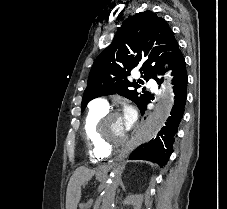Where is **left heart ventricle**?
I'll return each instance as SVG.
<instances>
[{
    "label": "left heart ventricle",
    "mask_w": 227,
    "mask_h": 209,
    "mask_svg": "<svg viewBox=\"0 0 227 209\" xmlns=\"http://www.w3.org/2000/svg\"><path fill=\"white\" fill-rule=\"evenodd\" d=\"M104 135L108 141L116 142L127 139L130 133L122 117L118 116L107 122L104 128Z\"/></svg>",
    "instance_id": "left-heart-ventricle-1"
}]
</instances>
